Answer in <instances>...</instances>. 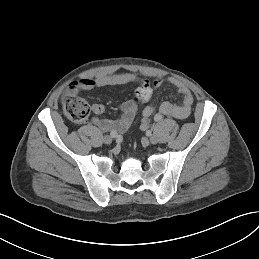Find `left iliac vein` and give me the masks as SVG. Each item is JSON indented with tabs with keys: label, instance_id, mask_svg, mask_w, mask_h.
Here are the masks:
<instances>
[{
	"label": "left iliac vein",
	"instance_id": "4c4485c4",
	"mask_svg": "<svg viewBox=\"0 0 259 259\" xmlns=\"http://www.w3.org/2000/svg\"><path fill=\"white\" fill-rule=\"evenodd\" d=\"M148 142L150 144H156L158 142V138L156 135L152 134L148 137Z\"/></svg>",
	"mask_w": 259,
	"mask_h": 259
}]
</instances>
